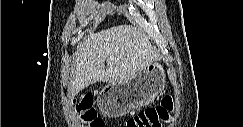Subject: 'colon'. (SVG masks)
I'll list each match as a JSON object with an SVG mask.
<instances>
[{
    "label": "colon",
    "mask_w": 243,
    "mask_h": 127,
    "mask_svg": "<svg viewBox=\"0 0 243 127\" xmlns=\"http://www.w3.org/2000/svg\"><path fill=\"white\" fill-rule=\"evenodd\" d=\"M75 111L80 121L87 127H104L103 119L99 118L93 107L92 93H84L74 100ZM174 100L165 97L161 104L138 112L126 121V127H161L172 120Z\"/></svg>",
    "instance_id": "5ec220e1"
}]
</instances>
